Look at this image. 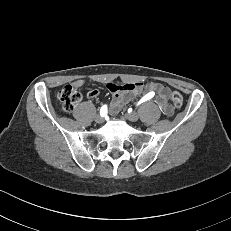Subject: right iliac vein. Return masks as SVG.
Instances as JSON below:
<instances>
[{"mask_svg":"<svg viewBox=\"0 0 231 231\" xmlns=\"http://www.w3.org/2000/svg\"><path fill=\"white\" fill-rule=\"evenodd\" d=\"M104 121L103 117L100 115L95 116V122L101 124Z\"/></svg>","mask_w":231,"mask_h":231,"instance_id":"1","label":"right iliac vein"}]
</instances>
